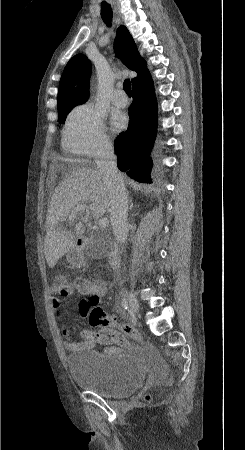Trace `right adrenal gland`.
I'll return each instance as SVG.
<instances>
[{
  "instance_id": "1",
  "label": "right adrenal gland",
  "mask_w": 245,
  "mask_h": 450,
  "mask_svg": "<svg viewBox=\"0 0 245 450\" xmlns=\"http://www.w3.org/2000/svg\"><path fill=\"white\" fill-rule=\"evenodd\" d=\"M130 202H131V205H130V210H132V208H133V203H132V200H130Z\"/></svg>"
}]
</instances>
